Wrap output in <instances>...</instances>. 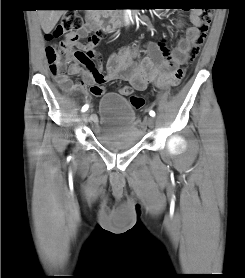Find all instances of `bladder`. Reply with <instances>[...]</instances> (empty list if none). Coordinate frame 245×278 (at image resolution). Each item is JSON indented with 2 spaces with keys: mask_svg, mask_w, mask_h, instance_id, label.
<instances>
[{
  "mask_svg": "<svg viewBox=\"0 0 245 278\" xmlns=\"http://www.w3.org/2000/svg\"><path fill=\"white\" fill-rule=\"evenodd\" d=\"M97 130V140L111 150L131 149L143 137L135 108L124 96L114 92L104 94L100 100Z\"/></svg>",
  "mask_w": 245,
  "mask_h": 278,
  "instance_id": "obj_1",
  "label": "bladder"
}]
</instances>
